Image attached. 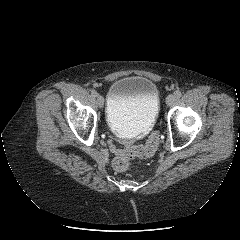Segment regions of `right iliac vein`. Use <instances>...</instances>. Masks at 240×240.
<instances>
[{
  "mask_svg": "<svg viewBox=\"0 0 240 240\" xmlns=\"http://www.w3.org/2000/svg\"><path fill=\"white\" fill-rule=\"evenodd\" d=\"M97 105H98L99 108L103 107V105H104V98H103V96H101V95L97 96Z\"/></svg>",
  "mask_w": 240,
  "mask_h": 240,
  "instance_id": "63e3f726",
  "label": "right iliac vein"
}]
</instances>
